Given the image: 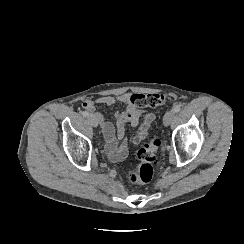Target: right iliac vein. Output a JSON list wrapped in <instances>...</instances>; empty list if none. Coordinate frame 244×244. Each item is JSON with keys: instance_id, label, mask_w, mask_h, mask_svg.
<instances>
[{"instance_id": "obj_1", "label": "right iliac vein", "mask_w": 244, "mask_h": 244, "mask_svg": "<svg viewBox=\"0 0 244 244\" xmlns=\"http://www.w3.org/2000/svg\"><path fill=\"white\" fill-rule=\"evenodd\" d=\"M88 120H89L90 124H91L93 127H97V126H98V119L96 118L95 115H89V116H88Z\"/></svg>"}]
</instances>
